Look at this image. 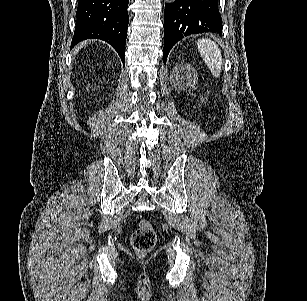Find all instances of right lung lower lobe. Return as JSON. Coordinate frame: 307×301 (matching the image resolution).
<instances>
[{"instance_id":"1","label":"right lung lower lobe","mask_w":307,"mask_h":301,"mask_svg":"<svg viewBox=\"0 0 307 301\" xmlns=\"http://www.w3.org/2000/svg\"><path fill=\"white\" fill-rule=\"evenodd\" d=\"M71 47L85 39H101L125 59L129 0H78Z\"/></svg>"}]
</instances>
